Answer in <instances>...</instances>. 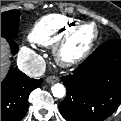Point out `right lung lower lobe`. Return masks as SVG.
<instances>
[{"mask_svg":"<svg viewBox=\"0 0 121 121\" xmlns=\"http://www.w3.org/2000/svg\"><path fill=\"white\" fill-rule=\"evenodd\" d=\"M12 54L18 51L14 39L7 40ZM43 79H32L17 69H10L1 82V121H20L28 109V97Z\"/></svg>","mask_w":121,"mask_h":121,"instance_id":"98d812e1","label":"right lung lower lobe"}]
</instances>
